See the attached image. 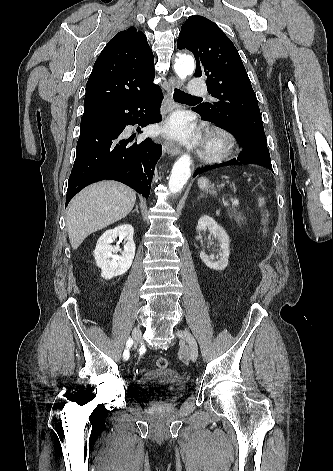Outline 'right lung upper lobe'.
<instances>
[{
  "mask_svg": "<svg viewBox=\"0 0 333 471\" xmlns=\"http://www.w3.org/2000/svg\"><path fill=\"white\" fill-rule=\"evenodd\" d=\"M146 36L130 27L117 33L97 58L87 82L83 116L120 104L157 86Z\"/></svg>",
  "mask_w": 333,
  "mask_h": 471,
  "instance_id": "obj_1",
  "label": "right lung upper lobe"
}]
</instances>
